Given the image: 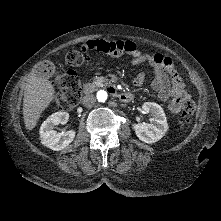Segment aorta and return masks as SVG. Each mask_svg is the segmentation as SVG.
Returning a JSON list of instances; mask_svg holds the SVG:
<instances>
[{"label": "aorta", "mask_w": 221, "mask_h": 221, "mask_svg": "<svg viewBox=\"0 0 221 221\" xmlns=\"http://www.w3.org/2000/svg\"><path fill=\"white\" fill-rule=\"evenodd\" d=\"M107 96H108V94L104 90H100L97 92V99L100 102H105L107 100Z\"/></svg>", "instance_id": "obj_1"}]
</instances>
